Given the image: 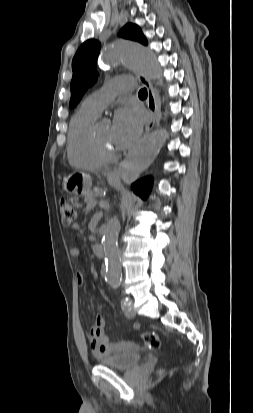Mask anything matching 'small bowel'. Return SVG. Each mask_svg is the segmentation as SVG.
I'll return each instance as SVG.
<instances>
[{"label":"small bowel","mask_w":253,"mask_h":413,"mask_svg":"<svg viewBox=\"0 0 253 413\" xmlns=\"http://www.w3.org/2000/svg\"><path fill=\"white\" fill-rule=\"evenodd\" d=\"M71 254L75 257L80 255L78 248H73ZM77 282L79 285L84 283V277L82 274L77 275ZM105 322L100 314H96L93 317L92 325L88 331L87 338L89 346L96 356H107L116 352H119L127 347L123 342H112L104 332ZM138 327V325H136Z\"/></svg>","instance_id":"c3829d8e"}]
</instances>
